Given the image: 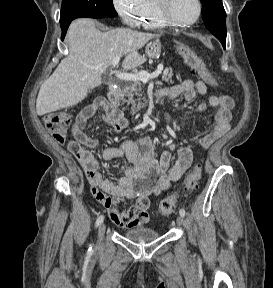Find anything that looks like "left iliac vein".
<instances>
[{"instance_id":"1","label":"left iliac vein","mask_w":273,"mask_h":288,"mask_svg":"<svg viewBox=\"0 0 273 288\" xmlns=\"http://www.w3.org/2000/svg\"><path fill=\"white\" fill-rule=\"evenodd\" d=\"M176 223H177L178 226H182L183 225L184 219H183V217L181 215L177 217Z\"/></svg>"}]
</instances>
